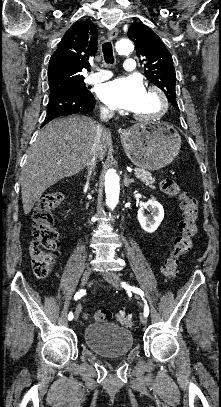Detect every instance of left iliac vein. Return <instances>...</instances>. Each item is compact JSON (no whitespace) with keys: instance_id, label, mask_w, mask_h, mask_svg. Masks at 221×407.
<instances>
[{"instance_id":"left-iliac-vein-1","label":"left iliac vein","mask_w":221,"mask_h":407,"mask_svg":"<svg viewBox=\"0 0 221 407\" xmlns=\"http://www.w3.org/2000/svg\"><path fill=\"white\" fill-rule=\"evenodd\" d=\"M101 275L108 283H110L114 287L121 288V284H120L121 280H120V277L116 273H114V272H102ZM139 318H140V321H141V323L143 325L147 324V322H148L147 317L143 313H140Z\"/></svg>"}]
</instances>
